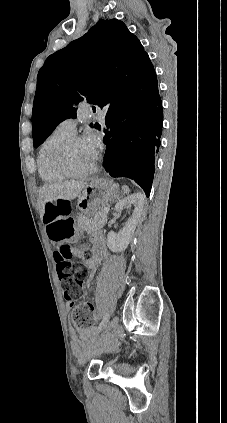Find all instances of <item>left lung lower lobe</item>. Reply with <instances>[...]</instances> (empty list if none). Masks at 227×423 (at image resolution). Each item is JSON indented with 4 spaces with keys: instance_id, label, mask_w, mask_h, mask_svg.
Here are the masks:
<instances>
[{
    "instance_id": "obj_1",
    "label": "left lung lower lobe",
    "mask_w": 227,
    "mask_h": 423,
    "mask_svg": "<svg viewBox=\"0 0 227 423\" xmlns=\"http://www.w3.org/2000/svg\"><path fill=\"white\" fill-rule=\"evenodd\" d=\"M162 102L155 70L132 95L127 109L108 110L104 167L112 177H127L149 197L155 153L162 133Z\"/></svg>"
}]
</instances>
